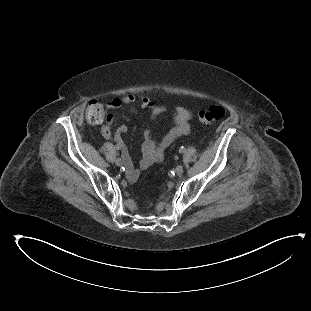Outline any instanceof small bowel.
<instances>
[{
    "label": "small bowel",
    "instance_id": "obj_1",
    "mask_svg": "<svg viewBox=\"0 0 311 311\" xmlns=\"http://www.w3.org/2000/svg\"><path fill=\"white\" fill-rule=\"evenodd\" d=\"M138 104L142 109L148 110L151 114V120H155L158 116L168 110V106L164 104H155L149 97L145 95H127L123 98H115L106 102L105 106L108 109L118 110L124 106ZM136 113L134 108L129 110V114ZM192 113L185 108H177L174 114V126L156 142L152 137V129L149 127L145 131L144 143L142 146V158L139 161L141 170L149 168L154 163L160 162L165 154L166 149L180 136L190 133L189 121L192 119ZM128 127L122 124L116 132L111 131L109 124H104L101 128V133L106 138H114L121 141L126 134Z\"/></svg>",
    "mask_w": 311,
    "mask_h": 311
}]
</instances>
